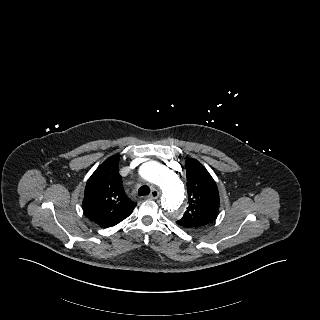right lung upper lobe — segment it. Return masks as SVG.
Wrapping results in <instances>:
<instances>
[{"mask_svg":"<svg viewBox=\"0 0 320 320\" xmlns=\"http://www.w3.org/2000/svg\"><path fill=\"white\" fill-rule=\"evenodd\" d=\"M118 160L115 155L105 160L90 176L85 187L83 211L103 228L115 226L127 218L137 205L122 189Z\"/></svg>","mask_w":320,"mask_h":320,"instance_id":"1","label":"right lung upper lobe"}]
</instances>
